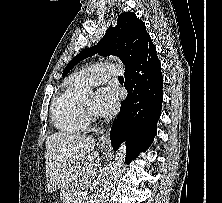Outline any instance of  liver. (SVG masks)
Listing matches in <instances>:
<instances>
[{"mask_svg":"<svg viewBox=\"0 0 222 203\" xmlns=\"http://www.w3.org/2000/svg\"><path fill=\"white\" fill-rule=\"evenodd\" d=\"M94 147L95 140L85 135L58 132L48 136L45 152L48 191L61 188L62 196L78 179L92 177L100 161Z\"/></svg>","mask_w":222,"mask_h":203,"instance_id":"liver-1","label":"liver"}]
</instances>
